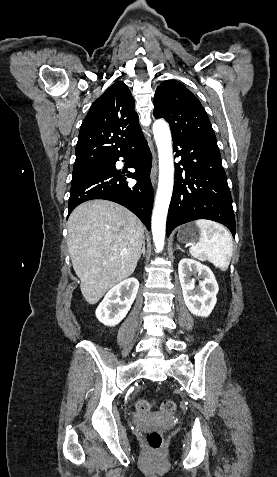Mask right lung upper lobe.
Returning a JSON list of instances; mask_svg holds the SVG:
<instances>
[{
    "mask_svg": "<svg viewBox=\"0 0 277 477\" xmlns=\"http://www.w3.org/2000/svg\"><path fill=\"white\" fill-rule=\"evenodd\" d=\"M135 101L124 82L111 85L82 122L73 168L106 162L143 137Z\"/></svg>",
    "mask_w": 277,
    "mask_h": 477,
    "instance_id": "right-lung-upper-lobe-1",
    "label": "right lung upper lobe"
}]
</instances>
